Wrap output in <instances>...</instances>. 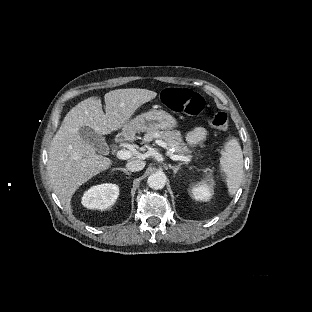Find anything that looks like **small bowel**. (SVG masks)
I'll use <instances>...</instances> for the list:
<instances>
[{
    "mask_svg": "<svg viewBox=\"0 0 312 312\" xmlns=\"http://www.w3.org/2000/svg\"><path fill=\"white\" fill-rule=\"evenodd\" d=\"M206 136L207 130L204 127L198 126L186 135V142L190 146H195L201 143Z\"/></svg>",
    "mask_w": 312,
    "mask_h": 312,
    "instance_id": "1",
    "label": "small bowel"
}]
</instances>
